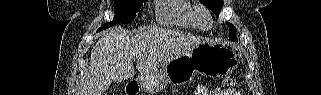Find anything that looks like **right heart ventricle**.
<instances>
[{"label":"right heart ventricle","mask_w":321,"mask_h":95,"mask_svg":"<svg viewBox=\"0 0 321 95\" xmlns=\"http://www.w3.org/2000/svg\"><path fill=\"white\" fill-rule=\"evenodd\" d=\"M198 8L186 0H161L156 7V19L163 26L201 28L196 19Z\"/></svg>","instance_id":"right-heart-ventricle-1"}]
</instances>
